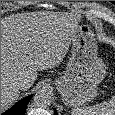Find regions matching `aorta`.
<instances>
[{"label":"aorta","instance_id":"762f6f07","mask_svg":"<svg viewBox=\"0 0 115 115\" xmlns=\"http://www.w3.org/2000/svg\"><path fill=\"white\" fill-rule=\"evenodd\" d=\"M34 102L38 107H47L52 104L51 94L45 90H39L34 96Z\"/></svg>","mask_w":115,"mask_h":115}]
</instances>
